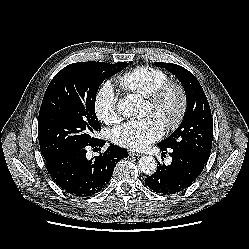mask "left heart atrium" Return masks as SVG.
I'll return each instance as SVG.
<instances>
[{
	"label": "left heart atrium",
	"instance_id": "left-heart-atrium-1",
	"mask_svg": "<svg viewBox=\"0 0 249 249\" xmlns=\"http://www.w3.org/2000/svg\"><path fill=\"white\" fill-rule=\"evenodd\" d=\"M163 132L164 123L158 116L151 114L142 119L130 120L116 128L112 133V140L117 145L139 151L158 140Z\"/></svg>",
	"mask_w": 249,
	"mask_h": 249
}]
</instances>
